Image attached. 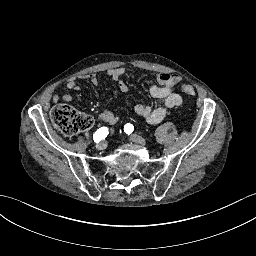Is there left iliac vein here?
I'll return each mask as SVG.
<instances>
[{"mask_svg":"<svg viewBox=\"0 0 256 256\" xmlns=\"http://www.w3.org/2000/svg\"><path fill=\"white\" fill-rule=\"evenodd\" d=\"M131 141L138 143L140 145H146V140L137 134H133L130 136Z\"/></svg>","mask_w":256,"mask_h":256,"instance_id":"obj_1","label":"left iliac vein"}]
</instances>
